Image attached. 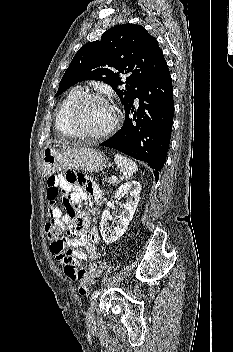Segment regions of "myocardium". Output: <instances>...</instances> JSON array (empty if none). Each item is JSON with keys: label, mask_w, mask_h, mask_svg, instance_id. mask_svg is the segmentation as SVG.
Returning <instances> with one entry per match:
<instances>
[{"label": "myocardium", "mask_w": 233, "mask_h": 352, "mask_svg": "<svg viewBox=\"0 0 233 352\" xmlns=\"http://www.w3.org/2000/svg\"><path fill=\"white\" fill-rule=\"evenodd\" d=\"M88 99H100L105 102H107L113 110V119L111 123L102 131L96 132V133H87V132H82L77 129L76 124H75V115L77 112L78 107L86 100ZM120 119V111L118 106L107 96L98 93V92H84L81 93L79 96L76 97V99L72 102L68 113H67V124L68 127L72 133V135L76 138L80 139H101L109 134H111L117 127Z\"/></svg>", "instance_id": "f54148a6"}]
</instances>
